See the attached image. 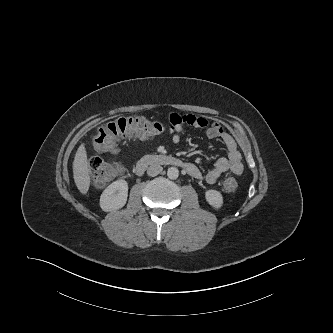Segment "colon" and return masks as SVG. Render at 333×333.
Listing matches in <instances>:
<instances>
[{
    "mask_svg": "<svg viewBox=\"0 0 333 333\" xmlns=\"http://www.w3.org/2000/svg\"><path fill=\"white\" fill-rule=\"evenodd\" d=\"M165 126L159 122L152 121L145 117L134 116L124 117L110 122L97 131L93 144L101 153H115L118 143L131 138H152L162 134ZM89 167L96 184L104 185L120 172L121 167L115 163L105 162L101 159L92 158ZM238 186L233 176H226L223 180V187L227 192H234Z\"/></svg>",
    "mask_w": 333,
    "mask_h": 333,
    "instance_id": "obj_1",
    "label": "colon"
}]
</instances>
